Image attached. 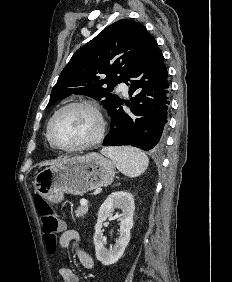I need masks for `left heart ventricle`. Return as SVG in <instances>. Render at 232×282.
<instances>
[{
	"label": "left heart ventricle",
	"instance_id": "b2bd125f",
	"mask_svg": "<svg viewBox=\"0 0 232 282\" xmlns=\"http://www.w3.org/2000/svg\"><path fill=\"white\" fill-rule=\"evenodd\" d=\"M98 131L95 114L83 107H73L62 112L52 126L53 138L63 146H73L92 139Z\"/></svg>",
	"mask_w": 232,
	"mask_h": 282
}]
</instances>
